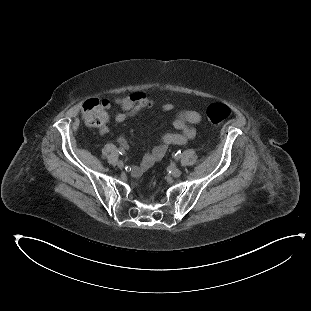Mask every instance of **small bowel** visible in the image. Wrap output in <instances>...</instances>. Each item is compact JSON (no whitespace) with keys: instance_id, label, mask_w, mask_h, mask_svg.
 Instances as JSON below:
<instances>
[{"instance_id":"c3829d8e","label":"small bowel","mask_w":311,"mask_h":311,"mask_svg":"<svg viewBox=\"0 0 311 311\" xmlns=\"http://www.w3.org/2000/svg\"><path fill=\"white\" fill-rule=\"evenodd\" d=\"M112 106H118L122 109V112L117 113L114 117L116 123H122L129 117L136 115L139 111L144 109L159 107L166 113L174 111V106L171 103L159 104L142 92L109 100V108ZM200 122L201 115L196 111L184 110L178 112L173 122V125L178 132L164 134L161 137V143L144 154L141 162L135 169V173L140 175L151 168L156 162L160 161L165 156L170 146L184 145L194 139L196 136V129L194 126ZM99 132L102 135H106L109 132V127L103 123L99 126ZM118 141L122 146H126L127 144L123 134L119 135Z\"/></svg>"}]
</instances>
